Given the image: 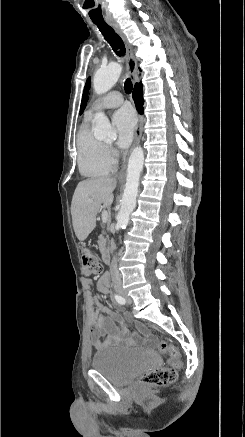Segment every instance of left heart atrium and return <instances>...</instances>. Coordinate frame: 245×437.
<instances>
[{
	"instance_id": "obj_1",
	"label": "left heart atrium",
	"mask_w": 245,
	"mask_h": 437,
	"mask_svg": "<svg viewBox=\"0 0 245 437\" xmlns=\"http://www.w3.org/2000/svg\"><path fill=\"white\" fill-rule=\"evenodd\" d=\"M136 115L132 108L125 106L116 111L112 122L117 131V145L126 148L130 145L136 126Z\"/></svg>"
}]
</instances>
